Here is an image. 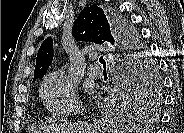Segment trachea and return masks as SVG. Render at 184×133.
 I'll list each match as a JSON object with an SVG mask.
<instances>
[{"instance_id": "obj_1", "label": "trachea", "mask_w": 184, "mask_h": 133, "mask_svg": "<svg viewBox=\"0 0 184 133\" xmlns=\"http://www.w3.org/2000/svg\"><path fill=\"white\" fill-rule=\"evenodd\" d=\"M99 62H100V64L103 65V67H106V62H105L103 56H101V57L99 58Z\"/></svg>"}]
</instances>
